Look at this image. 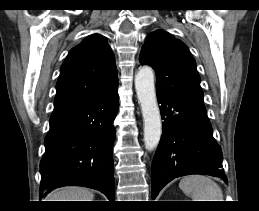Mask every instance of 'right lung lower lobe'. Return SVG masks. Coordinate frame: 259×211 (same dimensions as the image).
Returning a JSON list of instances; mask_svg holds the SVG:
<instances>
[{"mask_svg":"<svg viewBox=\"0 0 259 211\" xmlns=\"http://www.w3.org/2000/svg\"><path fill=\"white\" fill-rule=\"evenodd\" d=\"M117 90L92 102L53 111L40 163V194L78 185L103 192L114 200L113 121Z\"/></svg>","mask_w":259,"mask_h":211,"instance_id":"right-lung-lower-lobe-1","label":"right lung lower lobe"}]
</instances>
